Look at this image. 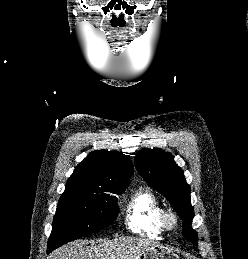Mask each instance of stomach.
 <instances>
[{"mask_svg":"<svg viewBox=\"0 0 248 259\" xmlns=\"http://www.w3.org/2000/svg\"><path fill=\"white\" fill-rule=\"evenodd\" d=\"M138 259H179V257L168 248L154 246L143 252Z\"/></svg>","mask_w":248,"mask_h":259,"instance_id":"stomach-1","label":"stomach"}]
</instances>
